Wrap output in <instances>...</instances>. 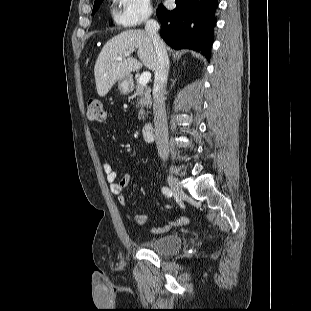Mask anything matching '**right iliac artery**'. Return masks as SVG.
<instances>
[{"instance_id": "82829eb1", "label": "right iliac artery", "mask_w": 311, "mask_h": 311, "mask_svg": "<svg viewBox=\"0 0 311 311\" xmlns=\"http://www.w3.org/2000/svg\"><path fill=\"white\" fill-rule=\"evenodd\" d=\"M162 193L167 196V197H172L173 192L171 191V189H169L168 187H163L162 188Z\"/></svg>"}]
</instances>
